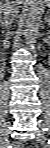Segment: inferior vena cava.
<instances>
[{"instance_id":"602c4592","label":"inferior vena cava","mask_w":50,"mask_h":148,"mask_svg":"<svg viewBox=\"0 0 50 148\" xmlns=\"http://www.w3.org/2000/svg\"><path fill=\"white\" fill-rule=\"evenodd\" d=\"M15 2H18V0L7 1L6 5L3 6V9H2V12L4 14V25L7 29L8 34H9V29L11 28L12 23L15 22V20L17 19V15L19 13Z\"/></svg>"}]
</instances>
